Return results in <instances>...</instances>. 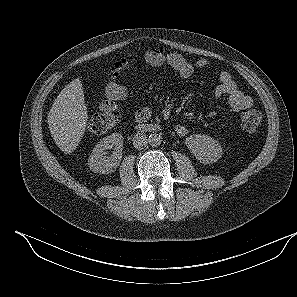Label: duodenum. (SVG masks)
<instances>
[{
	"instance_id": "obj_1",
	"label": "duodenum",
	"mask_w": 297,
	"mask_h": 297,
	"mask_svg": "<svg viewBox=\"0 0 297 297\" xmlns=\"http://www.w3.org/2000/svg\"><path fill=\"white\" fill-rule=\"evenodd\" d=\"M138 129L141 132H158L162 129V127L160 124H157V123H150V124L143 123L138 125Z\"/></svg>"
}]
</instances>
